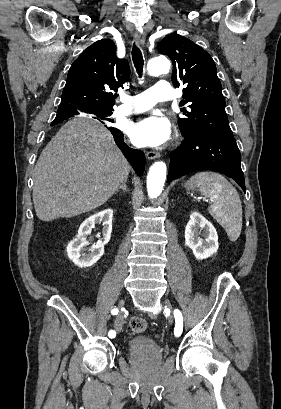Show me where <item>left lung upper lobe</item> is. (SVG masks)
Wrapping results in <instances>:
<instances>
[{"instance_id":"5c2ea615","label":"left lung upper lobe","mask_w":281,"mask_h":409,"mask_svg":"<svg viewBox=\"0 0 281 409\" xmlns=\"http://www.w3.org/2000/svg\"><path fill=\"white\" fill-rule=\"evenodd\" d=\"M158 50L173 62V84L185 87L180 104H187L191 110L181 109L186 116L178 120L183 136L207 131L233 137L212 57L200 46L178 34L165 37Z\"/></svg>"}]
</instances>
